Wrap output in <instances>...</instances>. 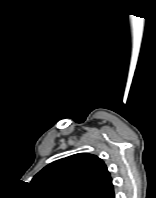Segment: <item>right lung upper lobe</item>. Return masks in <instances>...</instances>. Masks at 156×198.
<instances>
[{"label":"right lung upper lobe","instance_id":"obj_1","mask_svg":"<svg viewBox=\"0 0 156 198\" xmlns=\"http://www.w3.org/2000/svg\"><path fill=\"white\" fill-rule=\"evenodd\" d=\"M31 183L49 198H115L106 165L96 155L87 153L47 165Z\"/></svg>","mask_w":156,"mask_h":198}]
</instances>
